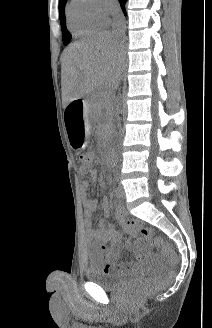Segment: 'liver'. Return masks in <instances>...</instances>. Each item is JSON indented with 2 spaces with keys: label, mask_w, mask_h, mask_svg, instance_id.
Returning a JSON list of instances; mask_svg holds the SVG:
<instances>
[{
  "label": "liver",
  "mask_w": 212,
  "mask_h": 328,
  "mask_svg": "<svg viewBox=\"0 0 212 328\" xmlns=\"http://www.w3.org/2000/svg\"><path fill=\"white\" fill-rule=\"evenodd\" d=\"M122 41L103 31L67 47L62 55V100L70 103L93 92L117 88Z\"/></svg>",
  "instance_id": "1"
}]
</instances>
